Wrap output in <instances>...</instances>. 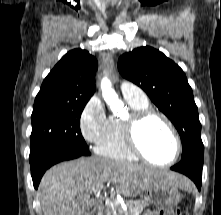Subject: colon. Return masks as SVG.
Masks as SVG:
<instances>
[{
	"mask_svg": "<svg viewBox=\"0 0 221 215\" xmlns=\"http://www.w3.org/2000/svg\"><path fill=\"white\" fill-rule=\"evenodd\" d=\"M156 215H186L178 208L159 209Z\"/></svg>",
	"mask_w": 221,
	"mask_h": 215,
	"instance_id": "5ec220e1",
	"label": "colon"
}]
</instances>
